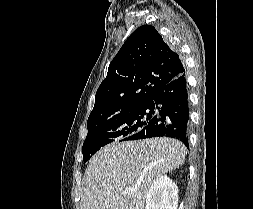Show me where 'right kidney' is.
<instances>
[{
    "instance_id": "ca27d5eb",
    "label": "right kidney",
    "mask_w": 253,
    "mask_h": 209,
    "mask_svg": "<svg viewBox=\"0 0 253 209\" xmlns=\"http://www.w3.org/2000/svg\"><path fill=\"white\" fill-rule=\"evenodd\" d=\"M178 187L166 175L159 176L146 195L145 209H177Z\"/></svg>"
}]
</instances>
